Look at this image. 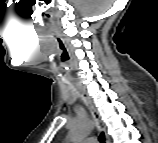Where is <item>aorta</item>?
Listing matches in <instances>:
<instances>
[{
  "label": "aorta",
  "instance_id": "aorta-1",
  "mask_svg": "<svg viewBox=\"0 0 158 143\" xmlns=\"http://www.w3.org/2000/svg\"><path fill=\"white\" fill-rule=\"evenodd\" d=\"M92 130V123L87 120L77 121L71 129V140L78 141L84 139Z\"/></svg>",
  "mask_w": 158,
  "mask_h": 143
}]
</instances>
